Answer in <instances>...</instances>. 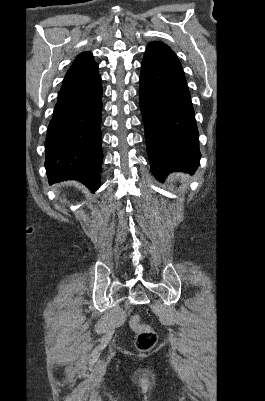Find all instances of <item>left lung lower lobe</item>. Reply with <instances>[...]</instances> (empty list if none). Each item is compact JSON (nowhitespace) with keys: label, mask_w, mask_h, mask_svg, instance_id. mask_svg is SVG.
Here are the masks:
<instances>
[{"label":"left lung lower lobe","mask_w":265,"mask_h":401,"mask_svg":"<svg viewBox=\"0 0 265 401\" xmlns=\"http://www.w3.org/2000/svg\"><path fill=\"white\" fill-rule=\"evenodd\" d=\"M140 74V108L154 176L173 171L193 173L200 160L198 130L182 67L144 58Z\"/></svg>","instance_id":"1"}]
</instances>
